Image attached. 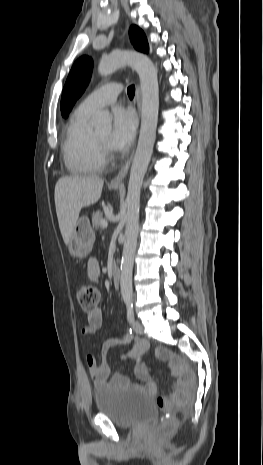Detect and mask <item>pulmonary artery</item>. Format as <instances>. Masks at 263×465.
<instances>
[{
    "instance_id": "pulmonary-artery-1",
    "label": "pulmonary artery",
    "mask_w": 263,
    "mask_h": 465,
    "mask_svg": "<svg viewBox=\"0 0 263 465\" xmlns=\"http://www.w3.org/2000/svg\"><path fill=\"white\" fill-rule=\"evenodd\" d=\"M122 86L119 83H108L94 90L79 104L78 109L84 113L93 114L98 109L113 104Z\"/></svg>"
}]
</instances>
